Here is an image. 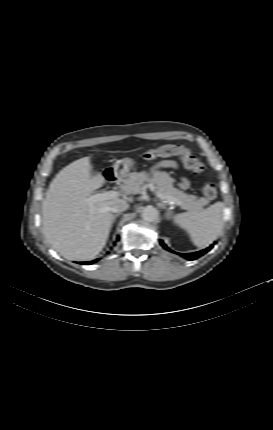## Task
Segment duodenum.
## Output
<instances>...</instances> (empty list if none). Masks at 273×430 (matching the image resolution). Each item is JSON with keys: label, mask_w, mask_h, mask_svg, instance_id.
Returning a JSON list of instances; mask_svg holds the SVG:
<instances>
[{"label": "duodenum", "mask_w": 273, "mask_h": 430, "mask_svg": "<svg viewBox=\"0 0 273 430\" xmlns=\"http://www.w3.org/2000/svg\"><path fill=\"white\" fill-rule=\"evenodd\" d=\"M107 179H108L109 181H113V180H114V177H113L112 175H109V176H107Z\"/></svg>", "instance_id": "duodenum-1"}]
</instances>
